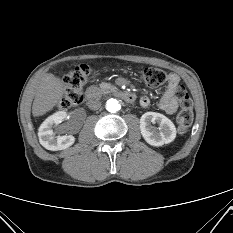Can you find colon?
I'll list each match as a JSON object with an SVG mask.
<instances>
[{
	"label": "colon",
	"instance_id": "obj_1",
	"mask_svg": "<svg viewBox=\"0 0 233 233\" xmlns=\"http://www.w3.org/2000/svg\"><path fill=\"white\" fill-rule=\"evenodd\" d=\"M90 68L81 64L71 69L64 78L65 91L59 103L63 110L69 109L82 102L83 88L89 78ZM143 82L151 88L158 87L167 81L166 72L162 69L148 67L141 72ZM174 96L180 105L177 116L178 131L185 134L193 120L192 101L186 88L178 85L174 90Z\"/></svg>",
	"mask_w": 233,
	"mask_h": 233
}]
</instances>
